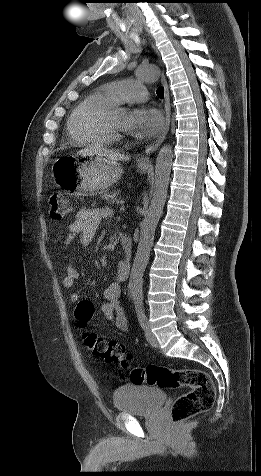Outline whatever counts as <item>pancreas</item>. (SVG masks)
I'll return each instance as SVG.
<instances>
[{
    "label": "pancreas",
    "instance_id": "cf45deb5",
    "mask_svg": "<svg viewBox=\"0 0 261 476\" xmlns=\"http://www.w3.org/2000/svg\"><path fill=\"white\" fill-rule=\"evenodd\" d=\"M104 198L106 199L107 203L110 205H118L121 201L119 198V191H115L112 193H105Z\"/></svg>",
    "mask_w": 261,
    "mask_h": 476
}]
</instances>
